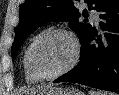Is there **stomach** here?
<instances>
[{"mask_svg":"<svg viewBox=\"0 0 119 95\" xmlns=\"http://www.w3.org/2000/svg\"><path fill=\"white\" fill-rule=\"evenodd\" d=\"M26 95H84V93L75 88L44 87Z\"/></svg>","mask_w":119,"mask_h":95,"instance_id":"stomach-1","label":"stomach"}]
</instances>
